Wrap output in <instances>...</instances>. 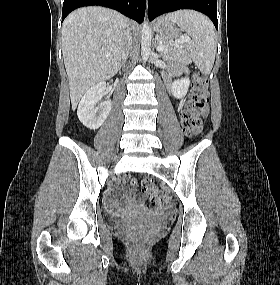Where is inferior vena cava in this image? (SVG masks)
Listing matches in <instances>:
<instances>
[{"label": "inferior vena cava", "instance_id": "1", "mask_svg": "<svg viewBox=\"0 0 280 285\" xmlns=\"http://www.w3.org/2000/svg\"><path fill=\"white\" fill-rule=\"evenodd\" d=\"M131 46V33H130V30L127 29L126 33H125V43H124V48L122 50V53H121V58H122V61L124 62L127 57H128V54H129V48Z\"/></svg>", "mask_w": 280, "mask_h": 285}]
</instances>
